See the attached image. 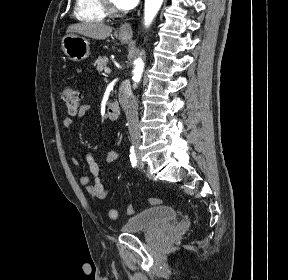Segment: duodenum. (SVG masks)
<instances>
[{"label":"duodenum","mask_w":288,"mask_h":280,"mask_svg":"<svg viewBox=\"0 0 288 280\" xmlns=\"http://www.w3.org/2000/svg\"><path fill=\"white\" fill-rule=\"evenodd\" d=\"M107 117L111 121H115L119 118L120 115V105L118 102H112L107 108Z\"/></svg>","instance_id":"410a0bca"}]
</instances>
